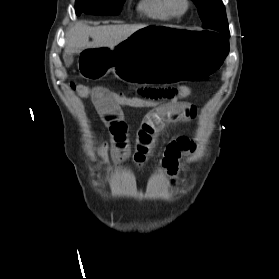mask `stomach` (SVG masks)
Masks as SVG:
<instances>
[{
    "label": "stomach",
    "instance_id": "obj_1",
    "mask_svg": "<svg viewBox=\"0 0 279 279\" xmlns=\"http://www.w3.org/2000/svg\"><path fill=\"white\" fill-rule=\"evenodd\" d=\"M113 47L80 50L76 75L84 82H104L118 75L130 87H174L177 82H214L230 55L226 34L176 25H139ZM142 79V82L140 81Z\"/></svg>",
    "mask_w": 279,
    "mask_h": 279
}]
</instances>
